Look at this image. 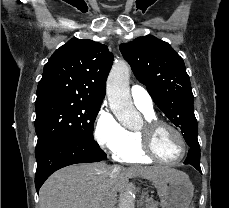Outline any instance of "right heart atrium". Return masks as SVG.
<instances>
[{
    "instance_id": "d8ad5b80",
    "label": "right heart atrium",
    "mask_w": 229,
    "mask_h": 208,
    "mask_svg": "<svg viewBox=\"0 0 229 208\" xmlns=\"http://www.w3.org/2000/svg\"><path fill=\"white\" fill-rule=\"evenodd\" d=\"M93 137L103 150L114 155L131 146L127 131L106 106H102L95 117Z\"/></svg>"
}]
</instances>
